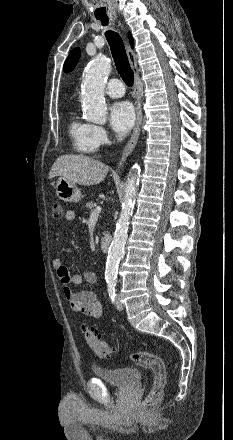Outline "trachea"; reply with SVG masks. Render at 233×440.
<instances>
[{
    "instance_id": "obj_1",
    "label": "trachea",
    "mask_w": 233,
    "mask_h": 440,
    "mask_svg": "<svg viewBox=\"0 0 233 440\" xmlns=\"http://www.w3.org/2000/svg\"><path fill=\"white\" fill-rule=\"evenodd\" d=\"M99 20L101 21L102 25H107L109 21L108 19ZM105 36L109 43L118 73L126 85L131 87L134 83V74L130 67L122 38L118 33L111 30L106 31Z\"/></svg>"
}]
</instances>
